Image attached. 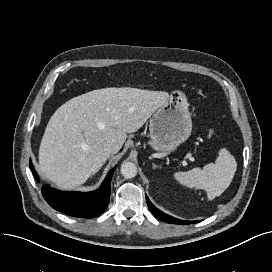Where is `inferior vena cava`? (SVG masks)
I'll return each mask as SVG.
<instances>
[{"label": "inferior vena cava", "instance_id": "1", "mask_svg": "<svg viewBox=\"0 0 272 272\" xmlns=\"http://www.w3.org/2000/svg\"><path fill=\"white\" fill-rule=\"evenodd\" d=\"M104 148H105V150L106 151H108L109 153H115V152H117L118 151V145L116 144V143H114V142H106L105 144H104Z\"/></svg>", "mask_w": 272, "mask_h": 272}]
</instances>
